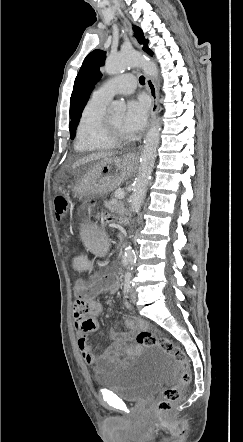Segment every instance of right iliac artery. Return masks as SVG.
<instances>
[{
  "mask_svg": "<svg viewBox=\"0 0 243 442\" xmlns=\"http://www.w3.org/2000/svg\"><path fill=\"white\" fill-rule=\"evenodd\" d=\"M131 289V274L127 273L126 277H125V283H124V294L129 293Z\"/></svg>",
  "mask_w": 243,
  "mask_h": 442,
  "instance_id": "1",
  "label": "right iliac artery"
}]
</instances>
